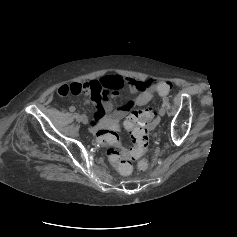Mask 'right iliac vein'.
<instances>
[{"label":"right iliac vein","mask_w":237,"mask_h":237,"mask_svg":"<svg viewBox=\"0 0 237 237\" xmlns=\"http://www.w3.org/2000/svg\"><path fill=\"white\" fill-rule=\"evenodd\" d=\"M80 118H81V121H82L83 124H85V125L88 124V118H87V116L81 115Z\"/></svg>","instance_id":"obj_1"}]
</instances>
